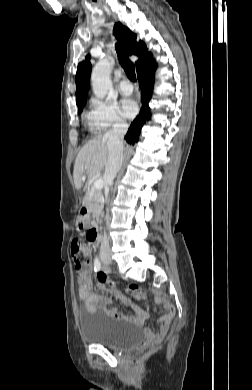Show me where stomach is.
<instances>
[{
    "instance_id": "obj_1",
    "label": "stomach",
    "mask_w": 252,
    "mask_h": 390,
    "mask_svg": "<svg viewBox=\"0 0 252 390\" xmlns=\"http://www.w3.org/2000/svg\"><path fill=\"white\" fill-rule=\"evenodd\" d=\"M85 227H86V222H85L84 218L79 217L78 220L76 221V229H77L78 231H81V230H83Z\"/></svg>"
}]
</instances>
